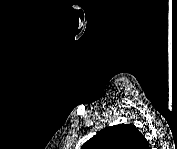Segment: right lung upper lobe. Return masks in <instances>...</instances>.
I'll list each match as a JSON object with an SVG mask.
<instances>
[{
    "instance_id": "right-lung-upper-lobe-1",
    "label": "right lung upper lobe",
    "mask_w": 177,
    "mask_h": 149,
    "mask_svg": "<svg viewBox=\"0 0 177 149\" xmlns=\"http://www.w3.org/2000/svg\"><path fill=\"white\" fill-rule=\"evenodd\" d=\"M146 139L132 124H118L100 131L82 149H142Z\"/></svg>"
}]
</instances>
